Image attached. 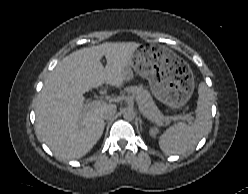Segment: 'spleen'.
<instances>
[{
    "label": "spleen",
    "instance_id": "obj_1",
    "mask_svg": "<svg viewBox=\"0 0 248 194\" xmlns=\"http://www.w3.org/2000/svg\"><path fill=\"white\" fill-rule=\"evenodd\" d=\"M196 119L192 125L179 122L169 127L159 137V146L167 154H181L192 148L209 133L211 129V94L204 82L198 87Z\"/></svg>",
    "mask_w": 248,
    "mask_h": 194
}]
</instances>
